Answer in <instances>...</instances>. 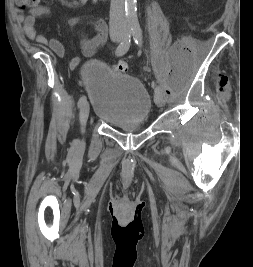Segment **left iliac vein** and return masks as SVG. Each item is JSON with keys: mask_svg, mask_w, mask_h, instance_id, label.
Listing matches in <instances>:
<instances>
[{"mask_svg": "<svg viewBox=\"0 0 253 267\" xmlns=\"http://www.w3.org/2000/svg\"><path fill=\"white\" fill-rule=\"evenodd\" d=\"M154 102L157 106L162 107L165 102V94L162 92L155 93L154 95Z\"/></svg>", "mask_w": 253, "mask_h": 267, "instance_id": "obj_1", "label": "left iliac vein"}]
</instances>
